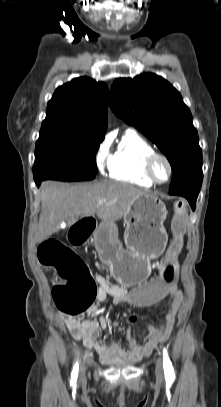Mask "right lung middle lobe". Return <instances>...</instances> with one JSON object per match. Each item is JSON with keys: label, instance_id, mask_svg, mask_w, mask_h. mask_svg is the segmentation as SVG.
Wrapping results in <instances>:
<instances>
[{"label": "right lung middle lobe", "instance_id": "right-lung-middle-lobe-1", "mask_svg": "<svg viewBox=\"0 0 221 407\" xmlns=\"http://www.w3.org/2000/svg\"><path fill=\"white\" fill-rule=\"evenodd\" d=\"M102 140L43 133L35 148L34 179L85 181L97 174L96 153Z\"/></svg>", "mask_w": 221, "mask_h": 407}]
</instances>
